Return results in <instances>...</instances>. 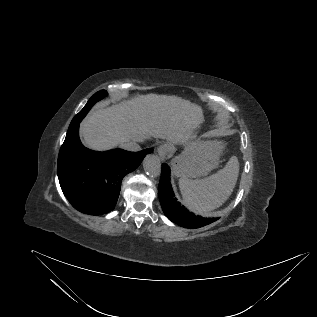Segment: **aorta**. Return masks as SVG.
<instances>
[{"instance_id": "aorta-1", "label": "aorta", "mask_w": 317, "mask_h": 317, "mask_svg": "<svg viewBox=\"0 0 317 317\" xmlns=\"http://www.w3.org/2000/svg\"><path fill=\"white\" fill-rule=\"evenodd\" d=\"M144 171L153 178H157L161 174V161L154 154H148L143 160Z\"/></svg>"}]
</instances>
